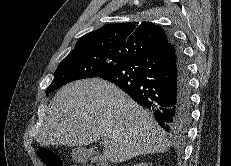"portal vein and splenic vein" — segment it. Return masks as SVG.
Listing matches in <instances>:
<instances>
[{"label": "portal vein and splenic vein", "instance_id": "1", "mask_svg": "<svg viewBox=\"0 0 231 166\" xmlns=\"http://www.w3.org/2000/svg\"><path fill=\"white\" fill-rule=\"evenodd\" d=\"M103 144L107 146L109 144V140L108 139H103Z\"/></svg>", "mask_w": 231, "mask_h": 166}]
</instances>
